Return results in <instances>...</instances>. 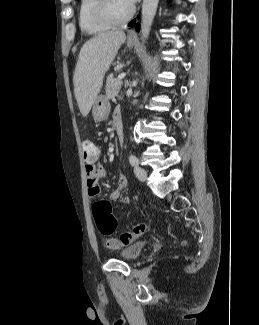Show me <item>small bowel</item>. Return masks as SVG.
<instances>
[{"label": "small bowel", "instance_id": "obj_1", "mask_svg": "<svg viewBox=\"0 0 259 325\" xmlns=\"http://www.w3.org/2000/svg\"><path fill=\"white\" fill-rule=\"evenodd\" d=\"M121 114L120 108L114 110L113 118L116 114ZM98 157L93 161H86V180L87 191L90 197H96L100 193L99 180L106 175L104 167L99 163ZM128 185V179L125 175H121L118 181V189L110 193V199L112 201H119L121 203H127L129 198L124 195L123 191Z\"/></svg>", "mask_w": 259, "mask_h": 325}]
</instances>
